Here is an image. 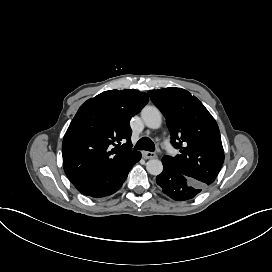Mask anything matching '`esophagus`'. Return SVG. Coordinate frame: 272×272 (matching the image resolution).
I'll list each match as a JSON object with an SVG mask.
<instances>
[{"label":"esophagus","mask_w":272,"mask_h":272,"mask_svg":"<svg viewBox=\"0 0 272 272\" xmlns=\"http://www.w3.org/2000/svg\"><path fill=\"white\" fill-rule=\"evenodd\" d=\"M141 153H142V157L144 159H152V158L157 157L156 153H154V152L142 151Z\"/></svg>","instance_id":"esophagus-1"}]
</instances>
